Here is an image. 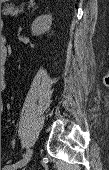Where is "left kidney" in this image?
Wrapping results in <instances>:
<instances>
[{
  "label": "left kidney",
  "mask_w": 109,
  "mask_h": 170,
  "mask_svg": "<svg viewBox=\"0 0 109 170\" xmlns=\"http://www.w3.org/2000/svg\"><path fill=\"white\" fill-rule=\"evenodd\" d=\"M52 24V16L50 14H45L37 17L32 25L31 31L33 35H41L49 31Z\"/></svg>",
  "instance_id": "left-kidney-1"
}]
</instances>
